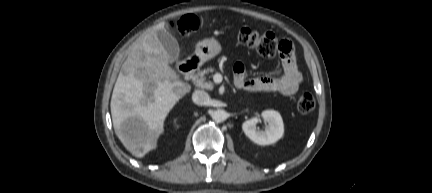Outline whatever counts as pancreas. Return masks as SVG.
Masks as SVG:
<instances>
[{
    "instance_id": "obj_1",
    "label": "pancreas",
    "mask_w": 432,
    "mask_h": 193,
    "mask_svg": "<svg viewBox=\"0 0 432 193\" xmlns=\"http://www.w3.org/2000/svg\"><path fill=\"white\" fill-rule=\"evenodd\" d=\"M215 69L213 67L205 68L204 70H198L197 73L193 76V83L202 89L212 90L213 83L211 81H207L206 75L209 73H213Z\"/></svg>"
}]
</instances>
